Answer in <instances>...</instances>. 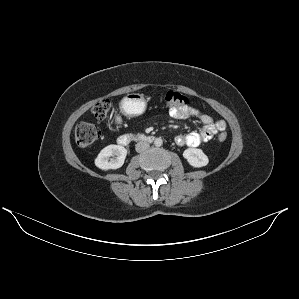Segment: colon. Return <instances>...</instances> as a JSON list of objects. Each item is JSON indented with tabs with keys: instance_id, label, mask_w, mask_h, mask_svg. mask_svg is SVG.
<instances>
[{
	"instance_id": "colon-1",
	"label": "colon",
	"mask_w": 299,
	"mask_h": 299,
	"mask_svg": "<svg viewBox=\"0 0 299 299\" xmlns=\"http://www.w3.org/2000/svg\"><path fill=\"white\" fill-rule=\"evenodd\" d=\"M162 102L168 108L186 106L188 104V98L177 91H166L163 93ZM111 103L108 99H101L92 107V113L95 118L99 120L105 119L110 111ZM100 136L99 128L92 123H80L75 128V140L78 145L87 147L94 144ZM227 139V134L221 132L218 135V140L223 142Z\"/></svg>"
}]
</instances>
